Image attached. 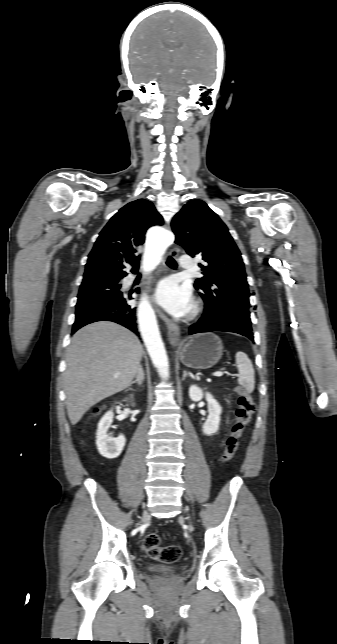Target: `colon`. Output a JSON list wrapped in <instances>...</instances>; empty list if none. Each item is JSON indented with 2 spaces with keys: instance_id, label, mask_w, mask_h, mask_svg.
Returning a JSON list of instances; mask_svg holds the SVG:
<instances>
[{
  "instance_id": "obj_1",
  "label": "colon",
  "mask_w": 337,
  "mask_h": 644,
  "mask_svg": "<svg viewBox=\"0 0 337 644\" xmlns=\"http://www.w3.org/2000/svg\"><path fill=\"white\" fill-rule=\"evenodd\" d=\"M236 391L238 398L235 421L231 426L230 434L225 442L222 454V460L224 462H229L234 457L242 432L255 411V402L251 395L241 387H238ZM100 410L96 409L95 414H98ZM143 548L151 558L168 564L177 562L182 554V550L178 545L160 546V536L156 532L148 533L145 536Z\"/></svg>"
}]
</instances>
